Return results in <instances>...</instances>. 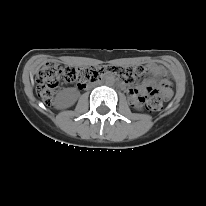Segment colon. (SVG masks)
Returning a JSON list of instances; mask_svg holds the SVG:
<instances>
[{
    "mask_svg": "<svg viewBox=\"0 0 206 206\" xmlns=\"http://www.w3.org/2000/svg\"><path fill=\"white\" fill-rule=\"evenodd\" d=\"M145 72L146 69L142 66L95 69L92 67H63L57 63H46L37 73L36 90L42 101L50 104L61 82L73 83L83 89L88 83L98 80L103 73H113L121 76L126 82H132L142 77ZM146 92V95L140 97V101L151 111H159L162 108V101L171 97L170 83L163 80L159 85H149Z\"/></svg>",
    "mask_w": 206,
    "mask_h": 206,
    "instance_id": "5ec220e1",
    "label": "colon"
}]
</instances>
